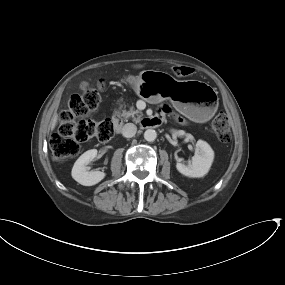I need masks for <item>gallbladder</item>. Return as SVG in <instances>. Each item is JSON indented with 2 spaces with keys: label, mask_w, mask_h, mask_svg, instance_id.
Masks as SVG:
<instances>
[{
  "label": "gallbladder",
  "mask_w": 285,
  "mask_h": 285,
  "mask_svg": "<svg viewBox=\"0 0 285 285\" xmlns=\"http://www.w3.org/2000/svg\"><path fill=\"white\" fill-rule=\"evenodd\" d=\"M87 87V84L86 83H83L82 84V89H85Z\"/></svg>",
  "instance_id": "bac80fb5"
}]
</instances>
